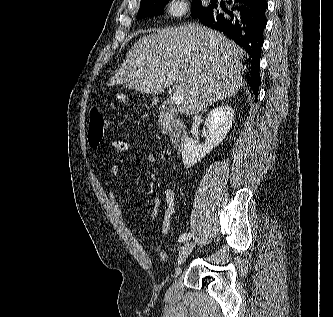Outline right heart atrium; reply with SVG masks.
Masks as SVG:
<instances>
[{"label": "right heart atrium", "instance_id": "obj_1", "mask_svg": "<svg viewBox=\"0 0 333 317\" xmlns=\"http://www.w3.org/2000/svg\"><path fill=\"white\" fill-rule=\"evenodd\" d=\"M189 5L187 0H166L163 5V11L172 18H180L186 15Z\"/></svg>", "mask_w": 333, "mask_h": 317}]
</instances>
